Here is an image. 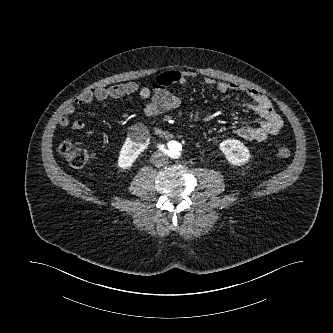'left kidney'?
<instances>
[{
    "instance_id": "left-kidney-1",
    "label": "left kidney",
    "mask_w": 333,
    "mask_h": 333,
    "mask_svg": "<svg viewBox=\"0 0 333 333\" xmlns=\"http://www.w3.org/2000/svg\"><path fill=\"white\" fill-rule=\"evenodd\" d=\"M220 150L233 165L245 164L250 158L248 148L239 140L227 139L222 141L220 143Z\"/></svg>"
}]
</instances>
